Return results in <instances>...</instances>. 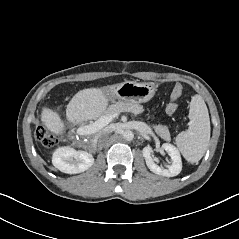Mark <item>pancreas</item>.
Segmentation results:
<instances>
[{
    "label": "pancreas",
    "mask_w": 239,
    "mask_h": 239,
    "mask_svg": "<svg viewBox=\"0 0 239 239\" xmlns=\"http://www.w3.org/2000/svg\"><path fill=\"white\" fill-rule=\"evenodd\" d=\"M118 111L132 112L135 115L141 114L144 111V108L139 103H130V102H116L108 107L105 114L110 115ZM154 131L158 136H160L165 141H170V132L166 125H153Z\"/></svg>",
    "instance_id": "cf45deb5"
}]
</instances>
